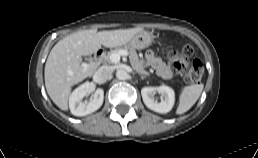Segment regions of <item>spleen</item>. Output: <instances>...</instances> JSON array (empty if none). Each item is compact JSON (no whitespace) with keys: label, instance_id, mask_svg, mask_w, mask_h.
I'll return each mask as SVG.
<instances>
[{"label":"spleen","instance_id":"3e777b00","mask_svg":"<svg viewBox=\"0 0 258 158\" xmlns=\"http://www.w3.org/2000/svg\"><path fill=\"white\" fill-rule=\"evenodd\" d=\"M203 88V84H194L184 87L179 97V105L176 113L183 114L187 112L197 102Z\"/></svg>","mask_w":258,"mask_h":158}]
</instances>
